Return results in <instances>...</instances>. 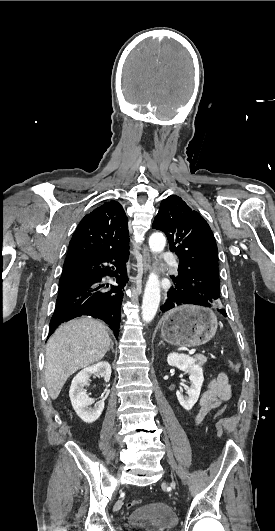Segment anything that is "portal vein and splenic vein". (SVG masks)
Segmentation results:
<instances>
[{"label":"portal vein and splenic vein","mask_w":275,"mask_h":531,"mask_svg":"<svg viewBox=\"0 0 275 531\" xmlns=\"http://www.w3.org/2000/svg\"><path fill=\"white\" fill-rule=\"evenodd\" d=\"M190 355H195V349L190 350Z\"/></svg>","instance_id":"portal-vein-and-splenic-vein-1"}]
</instances>
